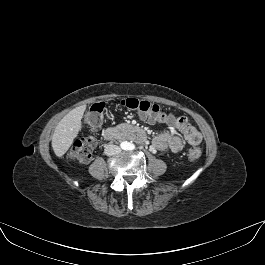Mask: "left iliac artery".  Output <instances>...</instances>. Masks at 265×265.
Wrapping results in <instances>:
<instances>
[{"mask_svg":"<svg viewBox=\"0 0 265 265\" xmlns=\"http://www.w3.org/2000/svg\"><path fill=\"white\" fill-rule=\"evenodd\" d=\"M128 149L133 150V149H135V146L133 144H129Z\"/></svg>","mask_w":265,"mask_h":265,"instance_id":"left-iliac-artery-1","label":"left iliac artery"}]
</instances>
